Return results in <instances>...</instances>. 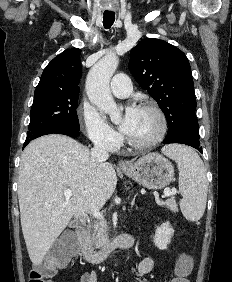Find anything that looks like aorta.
I'll use <instances>...</instances> for the list:
<instances>
[{"mask_svg":"<svg viewBox=\"0 0 232 282\" xmlns=\"http://www.w3.org/2000/svg\"><path fill=\"white\" fill-rule=\"evenodd\" d=\"M118 63V57L114 53H109L91 68L86 79L88 98L101 111L109 114L115 123L120 120V110L111 95L110 80Z\"/></svg>","mask_w":232,"mask_h":282,"instance_id":"obj_1","label":"aorta"}]
</instances>
